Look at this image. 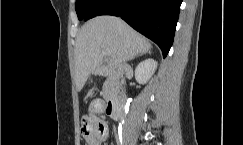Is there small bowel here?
<instances>
[{
    "mask_svg": "<svg viewBox=\"0 0 243 145\" xmlns=\"http://www.w3.org/2000/svg\"><path fill=\"white\" fill-rule=\"evenodd\" d=\"M104 110H106L104 102L98 99L92 102L87 111L86 116L95 127L93 135L85 139L87 145H102L108 137L107 124L97 117V114Z\"/></svg>",
    "mask_w": 243,
    "mask_h": 145,
    "instance_id": "c3829d8e",
    "label": "small bowel"
}]
</instances>
